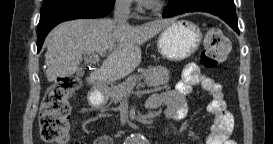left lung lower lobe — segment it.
<instances>
[{
    "label": "left lung lower lobe",
    "mask_w": 273,
    "mask_h": 144,
    "mask_svg": "<svg viewBox=\"0 0 273 144\" xmlns=\"http://www.w3.org/2000/svg\"><path fill=\"white\" fill-rule=\"evenodd\" d=\"M196 11L208 12L220 17L239 34L233 0H169L162 16L168 18Z\"/></svg>",
    "instance_id": "left-lung-lower-lobe-1"
}]
</instances>
